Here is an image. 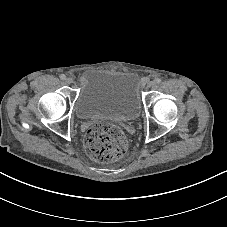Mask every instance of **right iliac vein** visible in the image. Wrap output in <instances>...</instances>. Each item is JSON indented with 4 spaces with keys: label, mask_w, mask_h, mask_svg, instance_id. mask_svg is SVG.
<instances>
[{
    "label": "right iliac vein",
    "mask_w": 227,
    "mask_h": 227,
    "mask_svg": "<svg viewBox=\"0 0 227 227\" xmlns=\"http://www.w3.org/2000/svg\"><path fill=\"white\" fill-rule=\"evenodd\" d=\"M66 84H71L73 82L72 78H66L65 79Z\"/></svg>",
    "instance_id": "right-iliac-vein-1"
}]
</instances>
